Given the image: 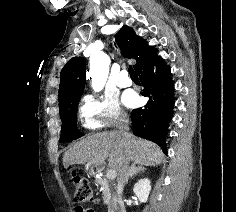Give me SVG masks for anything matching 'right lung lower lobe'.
<instances>
[{"instance_id": "1", "label": "right lung lower lobe", "mask_w": 236, "mask_h": 212, "mask_svg": "<svg viewBox=\"0 0 236 212\" xmlns=\"http://www.w3.org/2000/svg\"><path fill=\"white\" fill-rule=\"evenodd\" d=\"M136 72L143 85L141 94L149 100L145 106L132 111L133 133L157 143L167 153L165 138L175 102L170 68L153 48Z\"/></svg>"}]
</instances>
